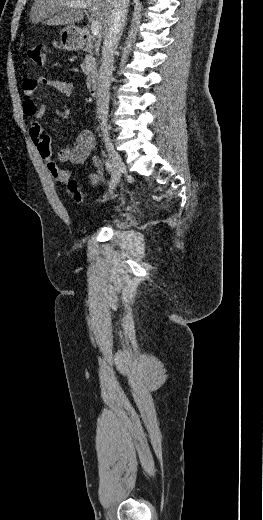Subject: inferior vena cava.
<instances>
[{"mask_svg": "<svg viewBox=\"0 0 263 520\" xmlns=\"http://www.w3.org/2000/svg\"><path fill=\"white\" fill-rule=\"evenodd\" d=\"M129 0H112L113 10L104 35L101 65L97 84V115L103 133L108 132L109 91L113 71L114 52L121 38L127 18Z\"/></svg>", "mask_w": 263, "mask_h": 520, "instance_id": "inferior-vena-cava-1", "label": "inferior vena cava"}]
</instances>
